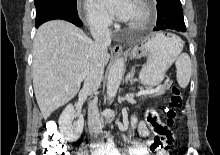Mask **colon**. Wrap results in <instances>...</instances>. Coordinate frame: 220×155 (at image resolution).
Listing matches in <instances>:
<instances>
[{"label": "colon", "instance_id": "1", "mask_svg": "<svg viewBox=\"0 0 220 155\" xmlns=\"http://www.w3.org/2000/svg\"><path fill=\"white\" fill-rule=\"evenodd\" d=\"M183 104V96L180 88L174 85L171 88V94L166 108L167 125L156 124L155 136L148 142V146L152 153L156 155H169V150L174 143V137L169 127L174 124L177 119L178 112ZM45 143H41V148H44V155H66L65 143L56 133L50 132L45 135Z\"/></svg>", "mask_w": 220, "mask_h": 155}]
</instances>
